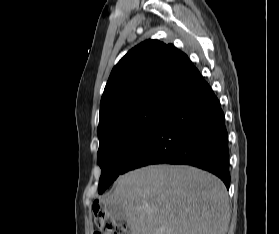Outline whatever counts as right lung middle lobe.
<instances>
[{
	"mask_svg": "<svg viewBox=\"0 0 279 234\" xmlns=\"http://www.w3.org/2000/svg\"><path fill=\"white\" fill-rule=\"evenodd\" d=\"M165 106H145L119 114L98 127L100 146L97 154L101 167L98 192L122 174L123 168L165 113Z\"/></svg>",
	"mask_w": 279,
	"mask_h": 234,
	"instance_id": "obj_1",
	"label": "right lung middle lobe"
}]
</instances>
